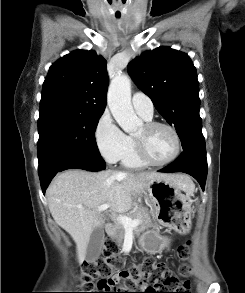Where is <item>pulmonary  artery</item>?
<instances>
[{"instance_id": "e3ab8cb5", "label": "pulmonary artery", "mask_w": 245, "mask_h": 293, "mask_svg": "<svg viewBox=\"0 0 245 293\" xmlns=\"http://www.w3.org/2000/svg\"><path fill=\"white\" fill-rule=\"evenodd\" d=\"M133 107L138 115L145 120H150L153 117L154 106L151 98L141 92H136L132 97Z\"/></svg>"}]
</instances>
